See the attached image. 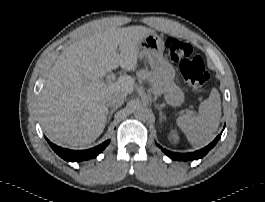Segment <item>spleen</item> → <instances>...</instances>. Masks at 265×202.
Listing matches in <instances>:
<instances>
[{
  "instance_id": "spleen-1",
  "label": "spleen",
  "mask_w": 265,
  "mask_h": 202,
  "mask_svg": "<svg viewBox=\"0 0 265 202\" xmlns=\"http://www.w3.org/2000/svg\"><path fill=\"white\" fill-rule=\"evenodd\" d=\"M220 117V95L217 89H212L209 98L200 104L198 115L179 116L176 119V124L192 145L203 146L213 139L219 126Z\"/></svg>"
}]
</instances>
